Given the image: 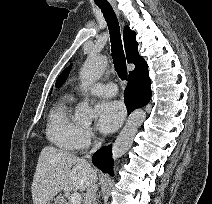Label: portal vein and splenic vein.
Segmentation results:
<instances>
[{"instance_id":"1","label":"portal vein and splenic vein","mask_w":212,"mask_h":204,"mask_svg":"<svg viewBox=\"0 0 212 204\" xmlns=\"http://www.w3.org/2000/svg\"><path fill=\"white\" fill-rule=\"evenodd\" d=\"M69 201L71 204H81L82 197L79 193H73L71 194Z\"/></svg>"}]
</instances>
